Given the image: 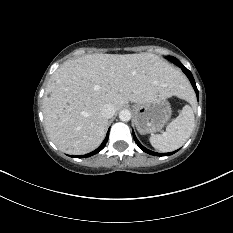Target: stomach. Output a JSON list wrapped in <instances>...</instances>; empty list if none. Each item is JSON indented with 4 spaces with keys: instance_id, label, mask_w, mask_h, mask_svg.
I'll return each instance as SVG.
<instances>
[{
    "instance_id": "stomach-1",
    "label": "stomach",
    "mask_w": 233,
    "mask_h": 233,
    "mask_svg": "<svg viewBox=\"0 0 233 233\" xmlns=\"http://www.w3.org/2000/svg\"><path fill=\"white\" fill-rule=\"evenodd\" d=\"M135 125L140 134H153L160 131L171 115V108L166 99L157 98L133 106Z\"/></svg>"
}]
</instances>
